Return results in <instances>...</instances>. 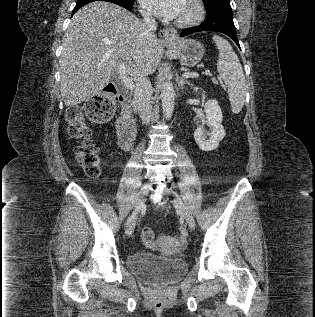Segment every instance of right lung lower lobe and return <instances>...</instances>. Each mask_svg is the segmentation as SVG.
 <instances>
[{"label":"right lung lower lobe","instance_id":"1","mask_svg":"<svg viewBox=\"0 0 315 317\" xmlns=\"http://www.w3.org/2000/svg\"><path fill=\"white\" fill-rule=\"evenodd\" d=\"M93 1H107V2H111V3L117 4L119 6H122V7L126 8L127 10H131L132 5L134 3V2H128L126 0H86V1L77 2L75 8L73 9L72 15L78 9H80L82 6H84V5H86V4L90 3V2H93Z\"/></svg>","mask_w":315,"mask_h":317}]
</instances>
